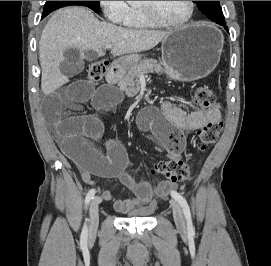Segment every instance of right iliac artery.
I'll list each match as a JSON object with an SVG mask.
<instances>
[{"label": "right iliac artery", "mask_w": 271, "mask_h": 266, "mask_svg": "<svg viewBox=\"0 0 271 266\" xmlns=\"http://www.w3.org/2000/svg\"><path fill=\"white\" fill-rule=\"evenodd\" d=\"M95 193H96L95 189L89 190V192L86 195V199H85L86 205H88L89 202L93 199ZM87 237H88V229H87V225L85 224L83 227V230H82V234H81V241L86 242Z\"/></svg>", "instance_id": "1"}]
</instances>
